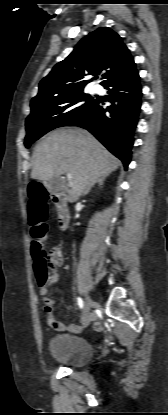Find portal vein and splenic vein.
Wrapping results in <instances>:
<instances>
[{
    "instance_id": "1",
    "label": "portal vein and splenic vein",
    "mask_w": 168,
    "mask_h": 415,
    "mask_svg": "<svg viewBox=\"0 0 168 415\" xmlns=\"http://www.w3.org/2000/svg\"><path fill=\"white\" fill-rule=\"evenodd\" d=\"M67 177H68V180H69V186L72 187L73 186V183L71 181V178H72L71 173H67Z\"/></svg>"
}]
</instances>
